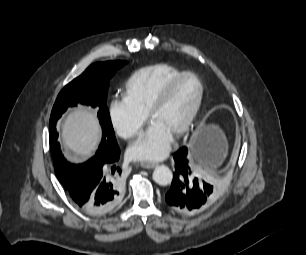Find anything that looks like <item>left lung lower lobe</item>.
<instances>
[{
  "mask_svg": "<svg viewBox=\"0 0 306 255\" xmlns=\"http://www.w3.org/2000/svg\"><path fill=\"white\" fill-rule=\"evenodd\" d=\"M190 151L192 152L191 149ZM187 155V147H182L173 156L175 172L165 200L176 212L192 215L204 210L210 204L215 194V188L207 181L190 177L192 164L189 163ZM213 156L214 151H210L207 159H211Z\"/></svg>",
  "mask_w": 306,
  "mask_h": 255,
  "instance_id": "0a47b994",
  "label": "left lung lower lobe"
}]
</instances>
